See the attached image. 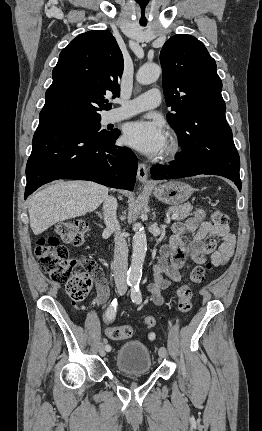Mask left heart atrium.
<instances>
[{"label":"left heart atrium","instance_id":"left-heart-atrium-1","mask_svg":"<svg viewBox=\"0 0 262 431\" xmlns=\"http://www.w3.org/2000/svg\"><path fill=\"white\" fill-rule=\"evenodd\" d=\"M123 141L147 156H157L167 146V133L157 120L140 119L127 125Z\"/></svg>","mask_w":262,"mask_h":431}]
</instances>
